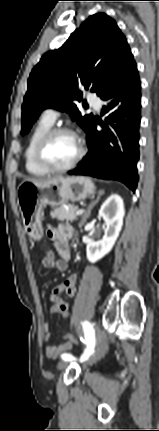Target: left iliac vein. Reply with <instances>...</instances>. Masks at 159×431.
Returning <instances> with one entry per match:
<instances>
[{"label": "left iliac vein", "instance_id": "obj_1", "mask_svg": "<svg viewBox=\"0 0 159 431\" xmlns=\"http://www.w3.org/2000/svg\"><path fill=\"white\" fill-rule=\"evenodd\" d=\"M104 346H105V335L103 332H97V348L95 352L88 359L87 364H93L96 361L100 360L104 355ZM68 363L66 360H62L58 363V369L63 370L67 367Z\"/></svg>", "mask_w": 159, "mask_h": 431}]
</instances>
